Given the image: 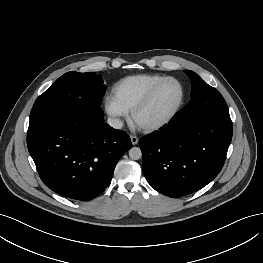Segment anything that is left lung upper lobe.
Wrapping results in <instances>:
<instances>
[{
	"label": "left lung upper lobe",
	"mask_w": 263,
	"mask_h": 263,
	"mask_svg": "<svg viewBox=\"0 0 263 263\" xmlns=\"http://www.w3.org/2000/svg\"><path fill=\"white\" fill-rule=\"evenodd\" d=\"M185 72L191 79L192 90L190 102L174 116L180 127L187 128L210 117L229 115L227 104L217 89L208 85L195 72Z\"/></svg>",
	"instance_id": "obj_1"
}]
</instances>
